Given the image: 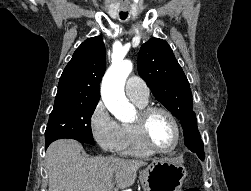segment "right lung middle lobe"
Masks as SVG:
<instances>
[{"mask_svg": "<svg viewBox=\"0 0 251 191\" xmlns=\"http://www.w3.org/2000/svg\"><path fill=\"white\" fill-rule=\"evenodd\" d=\"M97 103L72 104L53 108L45 131V146L62 138L94 145L91 116Z\"/></svg>", "mask_w": 251, "mask_h": 191, "instance_id": "right-lung-middle-lobe-1", "label": "right lung middle lobe"}]
</instances>
